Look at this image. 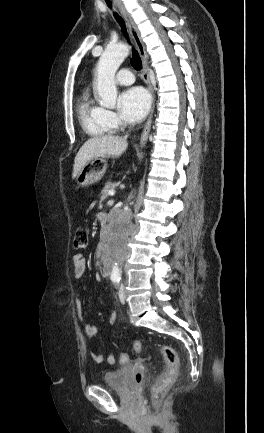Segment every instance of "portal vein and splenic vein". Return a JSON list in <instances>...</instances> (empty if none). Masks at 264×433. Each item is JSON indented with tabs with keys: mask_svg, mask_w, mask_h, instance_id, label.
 <instances>
[{
	"mask_svg": "<svg viewBox=\"0 0 264 433\" xmlns=\"http://www.w3.org/2000/svg\"><path fill=\"white\" fill-rule=\"evenodd\" d=\"M114 194H115V191H114V190L109 191V195H110V196H113Z\"/></svg>",
	"mask_w": 264,
	"mask_h": 433,
	"instance_id": "1",
	"label": "portal vein and splenic vein"
}]
</instances>
